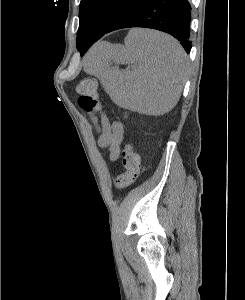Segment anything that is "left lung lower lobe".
I'll return each instance as SVG.
<instances>
[{"label": "left lung lower lobe", "mask_w": 245, "mask_h": 300, "mask_svg": "<svg viewBox=\"0 0 245 300\" xmlns=\"http://www.w3.org/2000/svg\"><path fill=\"white\" fill-rule=\"evenodd\" d=\"M190 9L189 0H136L103 34L88 38L85 48L80 52L81 56L104 34L129 27L152 28L169 33L180 40V44L189 53L192 47L189 41Z\"/></svg>", "instance_id": "left-lung-lower-lobe-1"}]
</instances>
